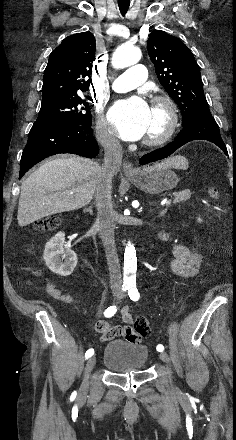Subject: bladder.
Instances as JSON below:
<instances>
[{
  "label": "bladder",
  "mask_w": 236,
  "mask_h": 440,
  "mask_svg": "<svg viewBox=\"0 0 236 440\" xmlns=\"http://www.w3.org/2000/svg\"><path fill=\"white\" fill-rule=\"evenodd\" d=\"M149 360V349L145 344L121 339L109 341L104 349L102 363L115 372H141Z\"/></svg>",
  "instance_id": "1"
}]
</instances>
